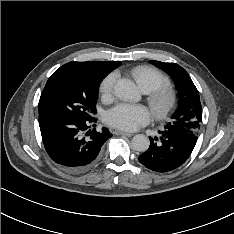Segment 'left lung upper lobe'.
<instances>
[{"label": "left lung upper lobe", "instance_id": "left-lung-upper-lobe-1", "mask_svg": "<svg viewBox=\"0 0 234 234\" xmlns=\"http://www.w3.org/2000/svg\"><path fill=\"white\" fill-rule=\"evenodd\" d=\"M153 65L168 73L175 81L179 91V106L167 123L165 129L186 134L197 141L200 123L202 122V107L199 92L188 73L178 64L150 61Z\"/></svg>", "mask_w": 234, "mask_h": 234}]
</instances>
